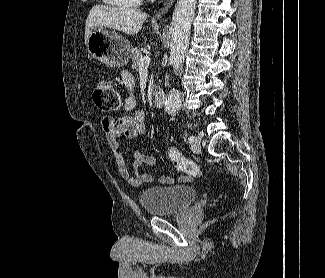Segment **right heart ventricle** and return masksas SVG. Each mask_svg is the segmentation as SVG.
Returning a JSON list of instances; mask_svg holds the SVG:
<instances>
[{"label":"right heart ventricle","instance_id":"1","mask_svg":"<svg viewBox=\"0 0 325 278\" xmlns=\"http://www.w3.org/2000/svg\"><path fill=\"white\" fill-rule=\"evenodd\" d=\"M106 4L118 8H136L141 0H103Z\"/></svg>","mask_w":325,"mask_h":278}]
</instances>
